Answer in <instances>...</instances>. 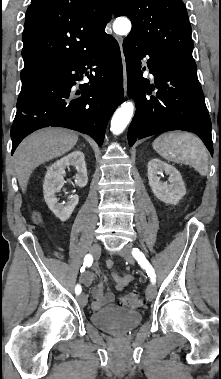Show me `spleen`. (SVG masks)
<instances>
[{
  "label": "spleen",
  "mask_w": 221,
  "mask_h": 379,
  "mask_svg": "<svg viewBox=\"0 0 221 379\" xmlns=\"http://www.w3.org/2000/svg\"><path fill=\"white\" fill-rule=\"evenodd\" d=\"M153 148L167 161L192 166L202 176L208 173V151L203 142L193 134H161L154 140Z\"/></svg>",
  "instance_id": "obj_1"
}]
</instances>
